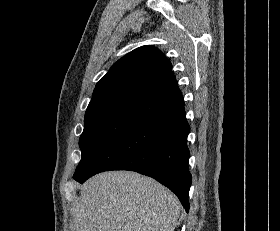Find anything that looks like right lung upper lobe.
Wrapping results in <instances>:
<instances>
[{"mask_svg": "<svg viewBox=\"0 0 280 231\" xmlns=\"http://www.w3.org/2000/svg\"><path fill=\"white\" fill-rule=\"evenodd\" d=\"M184 104L169 60L154 46L128 53L97 83L85 119L123 118L136 123Z\"/></svg>", "mask_w": 280, "mask_h": 231, "instance_id": "cb5924a9", "label": "right lung upper lobe"}]
</instances>
